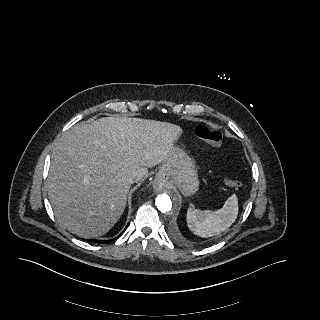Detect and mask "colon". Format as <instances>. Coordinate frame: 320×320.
<instances>
[{
    "instance_id": "obj_1",
    "label": "colon",
    "mask_w": 320,
    "mask_h": 320,
    "mask_svg": "<svg viewBox=\"0 0 320 320\" xmlns=\"http://www.w3.org/2000/svg\"><path fill=\"white\" fill-rule=\"evenodd\" d=\"M195 134L214 148H220L222 145L223 136L221 131L217 129L210 128L207 125H198L195 128ZM225 184L231 188H239L241 186L240 181L231 178H227Z\"/></svg>"
}]
</instances>
